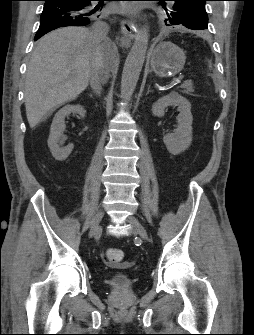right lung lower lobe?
Wrapping results in <instances>:
<instances>
[{"instance_id":"right-lung-lower-lobe-1","label":"right lung lower lobe","mask_w":254,"mask_h":335,"mask_svg":"<svg viewBox=\"0 0 254 335\" xmlns=\"http://www.w3.org/2000/svg\"><path fill=\"white\" fill-rule=\"evenodd\" d=\"M44 9L40 17V26L35 35L38 40L44 34L64 26L87 25L90 16L96 11L94 0H43ZM103 1L99 2V6Z\"/></svg>"}]
</instances>
